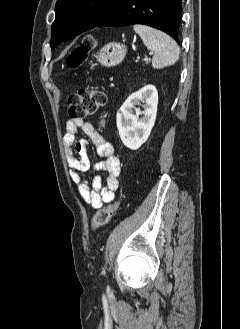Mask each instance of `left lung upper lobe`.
Here are the masks:
<instances>
[{
    "instance_id": "1",
    "label": "left lung upper lobe",
    "mask_w": 240,
    "mask_h": 329,
    "mask_svg": "<svg viewBox=\"0 0 240 329\" xmlns=\"http://www.w3.org/2000/svg\"><path fill=\"white\" fill-rule=\"evenodd\" d=\"M120 0H57L51 26V49L97 26Z\"/></svg>"
}]
</instances>
